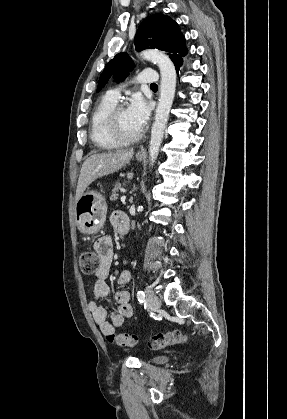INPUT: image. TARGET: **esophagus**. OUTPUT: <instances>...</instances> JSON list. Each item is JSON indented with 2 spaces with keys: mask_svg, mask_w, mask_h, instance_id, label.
<instances>
[{
  "mask_svg": "<svg viewBox=\"0 0 287 419\" xmlns=\"http://www.w3.org/2000/svg\"><path fill=\"white\" fill-rule=\"evenodd\" d=\"M140 154H145L144 150L139 151Z\"/></svg>",
  "mask_w": 287,
  "mask_h": 419,
  "instance_id": "34e87169",
  "label": "esophagus"
}]
</instances>
